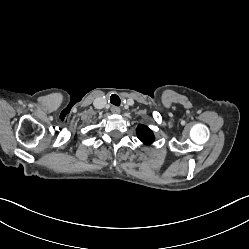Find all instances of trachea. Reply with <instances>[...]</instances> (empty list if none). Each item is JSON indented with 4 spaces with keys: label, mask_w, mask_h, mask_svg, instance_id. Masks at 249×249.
<instances>
[{
    "label": "trachea",
    "mask_w": 249,
    "mask_h": 249,
    "mask_svg": "<svg viewBox=\"0 0 249 249\" xmlns=\"http://www.w3.org/2000/svg\"><path fill=\"white\" fill-rule=\"evenodd\" d=\"M110 102L111 104L115 105V106H119L120 105V98L118 95L116 94H112L110 97Z\"/></svg>",
    "instance_id": "trachea-1"
}]
</instances>
